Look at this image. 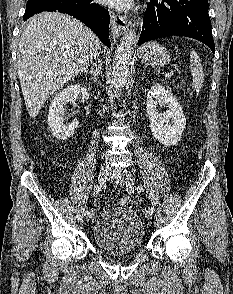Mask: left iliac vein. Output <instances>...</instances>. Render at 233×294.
<instances>
[{
  "mask_svg": "<svg viewBox=\"0 0 233 294\" xmlns=\"http://www.w3.org/2000/svg\"><path fill=\"white\" fill-rule=\"evenodd\" d=\"M111 177L116 181L117 184H119L120 186L124 185V181L127 179H130L132 181V185H134L133 180L131 179V176L129 174L128 171L124 170V169H115L112 173H111ZM142 211L145 212V216L147 219H151L152 218V213L147 212V208L143 207Z\"/></svg>",
  "mask_w": 233,
  "mask_h": 294,
  "instance_id": "1",
  "label": "left iliac vein"
}]
</instances>
